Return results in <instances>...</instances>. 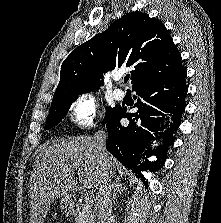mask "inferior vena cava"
I'll list each match as a JSON object with an SVG mask.
<instances>
[{"mask_svg":"<svg viewBox=\"0 0 221 223\" xmlns=\"http://www.w3.org/2000/svg\"><path fill=\"white\" fill-rule=\"evenodd\" d=\"M107 134L103 130H99L95 133L94 144L101 162V175L99 182V194H98V208L99 223H109L111 219L112 202H111V177L109 174V168L106 161L107 150L105 142Z\"/></svg>","mask_w":221,"mask_h":223,"instance_id":"1","label":"inferior vena cava"}]
</instances>
